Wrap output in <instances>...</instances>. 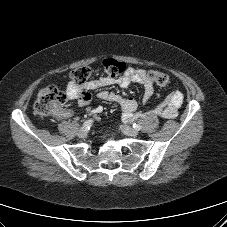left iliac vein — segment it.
<instances>
[{"label": "left iliac vein", "mask_w": 227, "mask_h": 227, "mask_svg": "<svg viewBox=\"0 0 227 227\" xmlns=\"http://www.w3.org/2000/svg\"><path fill=\"white\" fill-rule=\"evenodd\" d=\"M122 132L128 136H137L138 135V130L128 126V125H122L121 126Z\"/></svg>", "instance_id": "left-iliac-vein-1"}]
</instances>
